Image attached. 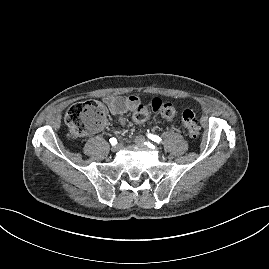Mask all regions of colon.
Returning <instances> with one entry per match:
<instances>
[{
  "instance_id": "colon-1",
  "label": "colon",
  "mask_w": 269,
  "mask_h": 269,
  "mask_svg": "<svg viewBox=\"0 0 269 269\" xmlns=\"http://www.w3.org/2000/svg\"><path fill=\"white\" fill-rule=\"evenodd\" d=\"M151 113H157L167 120H172L175 118L176 110L171 103L154 98L148 105L139 103L134 118L137 122H143ZM104 121L105 107L102 102L97 100L77 103L69 108L65 116L67 133L72 139L80 138L89 132L100 129ZM182 121L191 139L200 136L201 129L192 110L183 111Z\"/></svg>"
}]
</instances>
